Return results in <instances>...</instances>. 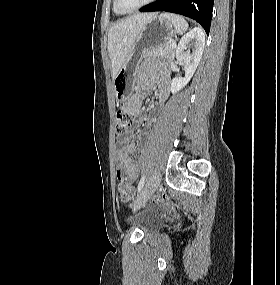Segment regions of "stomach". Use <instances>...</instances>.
<instances>
[{
	"label": "stomach",
	"instance_id": "stomach-1",
	"mask_svg": "<svg viewBox=\"0 0 280 285\" xmlns=\"http://www.w3.org/2000/svg\"><path fill=\"white\" fill-rule=\"evenodd\" d=\"M176 33L173 23L163 15L151 18L142 28L131 52L114 78L115 97L119 102L127 101L133 93V83L144 53L169 41Z\"/></svg>",
	"mask_w": 280,
	"mask_h": 285
}]
</instances>
